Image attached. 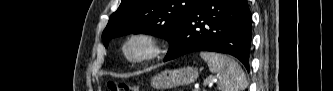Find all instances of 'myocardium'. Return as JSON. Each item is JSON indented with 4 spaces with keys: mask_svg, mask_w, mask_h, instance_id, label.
I'll use <instances>...</instances> for the list:
<instances>
[{
    "mask_svg": "<svg viewBox=\"0 0 333 91\" xmlns=\"http://www.w3.org/2000/svg\"><path fill=\"white\" fill-rule=\"evenodd\" d=\"M135 43L141 44L142 50L138 54H131L129 48ZM120 51L128 63L142 64L163 56L167 51V43L158 33L140 30L126 36L121 44Z\"/></svg>",
    "mask_w": 333,
    "mask_h": 91,
    "instance_id": "f54148a6",
    "label": "myocardium"
}]
</instances>
